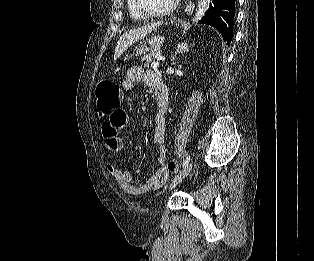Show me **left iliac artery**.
<instances>
[{
  "label": "left iliac artery",
  "mask_w": 314,
  "mask_h": 261,
  "mask_svg": "<svg viewBox=\"0 0 314 261\" xmlns=\"http://www.w3.org/2000/svg\"><path fill=\"white\" fill-rule=\"evenodd\" d=\"M189 161H190V155H188V156L185 158V160H184V162H183V167H184L185 165H187Z\"/></svg>",
  "instance_id": "44dca946"
}]
</instances>
